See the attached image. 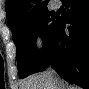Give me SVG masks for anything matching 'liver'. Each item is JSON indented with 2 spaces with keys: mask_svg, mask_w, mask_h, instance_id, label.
<instances>
[{
  "mask_svg": "<svg viewBox=\"0 0 89 89\" xmlns=\"http://www.w3.org/2000/svg\"><path fill=\"white\" fill-rule=\"evenodd\" d=\"M59 82L60 80L54 72L48 70L28 77L24 81L23 89H74L71 87L60 88Z\"/></svg>",
  "mask_w": 89,
  "mask_h": 89,
  "instance_id": "liver-1",
  "label": "liver"
}]
</instances>
